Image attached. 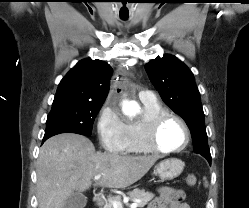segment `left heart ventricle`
Masks as SVG:
<instances>
[{"instance_id":"left-heart-ventricle-1","label":"left heart ventricle","mask_w":249,"mask_h":208,"mask_svg":"<svg viewBox=\"0 0 249 208\" xmlns=\"http://www.w3.org/2000/svg\"><path fill=\"white\" fill-rule=\"evenodd\" d=\"M186 134L182 125L176 120H168L158 133L157 142L164 149L181 147L185 142Z\"/></svg>"}]
</instances>
